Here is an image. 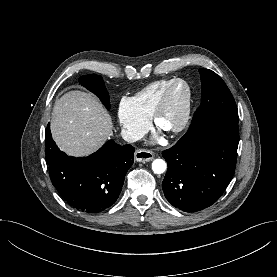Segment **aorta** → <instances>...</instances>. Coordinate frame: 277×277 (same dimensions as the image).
<instances>
[{"label":"aorta","mask_w":277,"mask_h":277,"mask_svg":"<svg viewBox=\"0 0 277 277\" xmlns=\"http://www.w3.org/2000/svg\"><path fill=\"white\" fill-rule=\"evenodd\" d=\"M167 164L162 159H155L152 163V170L156 174H162L165 172Z\"/></svg>","instance_id":"obj_1"}]
</instances>
